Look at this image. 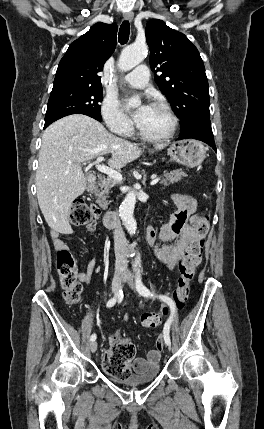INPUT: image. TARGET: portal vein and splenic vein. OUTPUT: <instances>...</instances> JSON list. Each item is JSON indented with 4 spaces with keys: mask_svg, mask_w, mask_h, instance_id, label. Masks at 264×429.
I'll list each match as a JSON object with an SVG mask.
<instances>
[{
    "mask_svg": "<svg viewBox=\"0 0 264 429\" xmlns=\"http://www.w3.org/2000/svg\"><path fill=\"white\" fill-rule=\"evenodd\" d=\"M104 159V157L99 156L97 158L96 161V168L97 170H99L100 172L107 174L109 177L113 178L114 180H116L117 182H121L122 181V175L120 172L116 171L113 168L104 166V165H100V162ZM159 178H153V180L151 181V185H155L156 183H158Z\"/></svg>",
    "mask_w": 264,
    "mask_h": 429,
    "instance_id": "portal-vein-and-splenic-vein-1",
    "label": "portal vein and splenic vein"
}]
</instances>
